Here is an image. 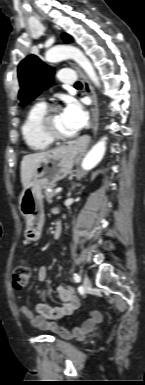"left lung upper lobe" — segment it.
Here are the masks:
<instances>
[{"label": "left lung upper lobe", "instance_id": "left-lung-upper-lobe-1", "mask_svg": "<svg viewBox=\"0 0 145 385\" xmlns=\"http://www.w3.org/2000/svg\"><path fill=\"white\" fill-rule=\"evenodd\" d=\"M65 42L72 41L68 34H63ZM53 69L45 65L37 56L29 55L18 66L20 84V105L25 106L53 82Z\"/></svg>", "mask_w": 145, "mask_h": 385}]
</instances>
